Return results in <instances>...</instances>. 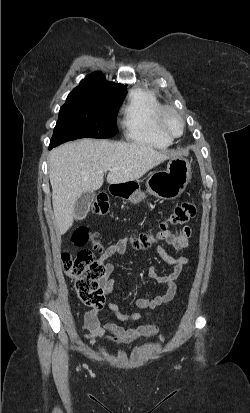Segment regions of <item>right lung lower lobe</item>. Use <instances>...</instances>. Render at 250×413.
I'll return each instance as SVG.
<instances>
[{
  "label": "right lung lower lobe",
  "mask_w": 250,
  "mask_h": 413,
  "mask_svg": "<svg viewBox=\"0 0 250 413\" xmlns=\"http://www.w3.org/2000/svg\"><path fill=\"white\" fill-rule=\"evenodd\" d=\"M53 147L52 146H49V149H52Z\"/></svg>",
  "instance_id": "98d812e1"
}]
</instances>
